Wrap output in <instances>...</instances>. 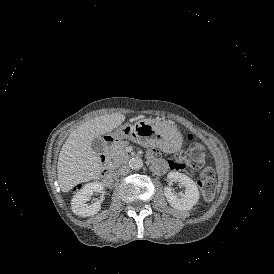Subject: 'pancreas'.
<instances>
[{
  "label": "pancreas",
  "instance_id": "pancreas-1",
  "mask_svg": "<svg viewBox=\"0 0 274 274\" xmlns=\"http://www.w3.org/2000/svg\"><path fill=\"white\" fill-rule=\"evenodd\" d=\"M127 144V141H116L113 147H106L104 150L103 153L107 162H109L114 168H117L121 164L127 163L130 157L125 151V146Z\"/></svg>",
  "mask_w": 274,
  "mask_h": 274
}]
</instances>
